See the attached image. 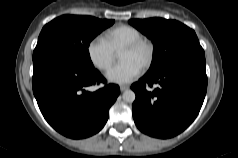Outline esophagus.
<instances>
[{"mask_svg":"<svg viewBox=\"0 0 238 158\" xmlns=\"http://www.w3.org/2000/svg\"><path fill=\"white\" fill-rule=\"evenodd\" d=\"M127 89H129V86H127V85H122V86H120V90L123 92V91H125V90H127Z\"/></svg>","mask_w":238,"mask_h":158,"instance_id":"obj_1","label":"esophagus"}]
</instances>
